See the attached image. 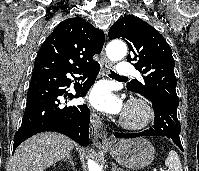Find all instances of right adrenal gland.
Here are the masks:
<instances>
[{"instance_id":"1","label":"right adrenal gland","mask_w":199,"mask_h":171,"mask_svg":"<svg viewBox=\"0 0 199 171\" xmlns=\"http://www.w3.org/2000/svg\"><path fill=\"white\" fill-rule=\"evenodd\" d=\"M63 160H64L65 162H68V161H69V162L71 163V165L74 166V162H73V160H72V158H71L70 153H68L67 156H66V158H63Z\"/></svg>"}]
</instances>
